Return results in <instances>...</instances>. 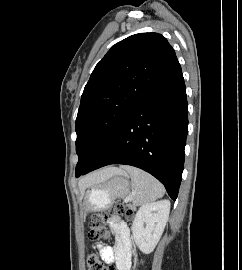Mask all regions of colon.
<instances>
[{
	"instance_id": "5ec220e1",
	"label": "colon",
	"mask_w": 242,
	"mask_h": 270,
	"mask_svg": "<svg viewBox=\"0 0 242 270\" xmlns=\"http://www.w3.org/2000/svg\"><path fill=\"white\" fill-rule=\"evenodd\" d=\"M114 215H122L131 218L133 212L123 204H117L114 209L102 210L94 213L90 220V231L88 238L95 242H101L109 238L108 221ZM87 270H115L113 266L106 265L102 262L96 253L87 255Z\"/></svg>"
}]
</instances>
